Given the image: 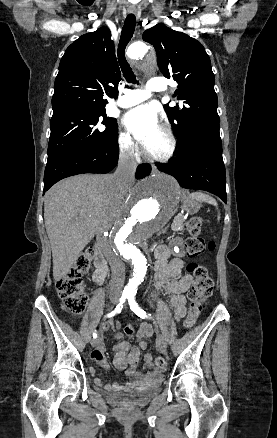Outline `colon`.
<instances>
[{"mask_svg": "<svg viewBox=\"0 0 277 438\" xmlns=\"http://www.w3.org/2000/svg\"><path fill=\"white\" fill-rule=\"evenodd\" d=\"M202 226L203 220L201 218H192L186 225L187 231L191 234L186 241V253L188 257H198L214 248V242L212 240L208 241L204 237L199 236ZM84 255L85 257H95V248H85ZM89 267V259H80L76 266L71 268L68 273L56 283L57 294L63 300L65 309L72 315H80L85 310L87 294L83 289L81 276L88 271ZM188 270L194 278V282L189 291L191 303L184 320V325L190 328L198 319L202 311V306L206 298L212 294L215 285L206 267L200 264H191ZM155 365L158 369H163L165 366L164 358L161 356L157 357Z\"/></svg>", "mask_w": 277, "mask_h": 438, "instance_id": "obj_1", "label": "colon"}]
</instances>
